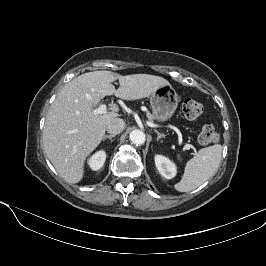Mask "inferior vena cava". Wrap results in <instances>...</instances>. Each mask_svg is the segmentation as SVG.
Returning <instances> with one entry per match:
<instances>
[{
  "label": "inferior vena cava",
  "instance_id": "602c4592",
  "mask_svg": "<svg viewBox=\"0 0 266 266\" xmlns=\"http://www.w3.org/2000/svg\"><path fill=\"white\" fill-rule=\"evenodd\" d=\"M124 128L125 122L121 118H113L106 125L107 132L115 135L121 133Z\"/></svg>",
  "mask_w": 266,
  "mask_h": 266
}]
</instances>
